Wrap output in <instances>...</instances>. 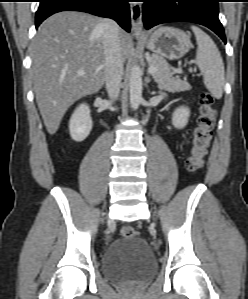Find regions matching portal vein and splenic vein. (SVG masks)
Listing matches in <instances>:
<instances>
[{
  "instance_id": "18ae733b",
  "label": "portal vein and splenic vein",
  "mask_w": 248,
  "mask_h": 299,
  "mask_svg": "<svg viewBox=\"0 0 248 299\" xmlns=\"http://www.w3.org/2000/svg\"><path fill=\"white\" fill-rule=\"evenodd\" d=\"M156 71H157V69H156L154 66H150V67L148 68V72H149L150 74H154ZM79 74L82 75L83 72H79Z\"/></svg>"
}]
</instances>
